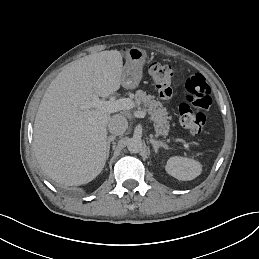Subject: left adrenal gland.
Returning <instances> with one entry per match:
<instances>
[{"label": "left adrenal gland", "mask_w": 259, "mask_h": 259, "mask_svg": "<svg viewBox=\"0 0 259 259\" xmlns=\"http://www.w3.org/2000/svg\"><path fill=\"white\" fill-rule=\"evenodd\" d=\"M150 143L153 145V148H154L156 153H157L159 147L169 149L168 145L165 142L160 141V140H155V139L151 138Z\"/></svg>", "instance_id": "1"}]
</instances>
